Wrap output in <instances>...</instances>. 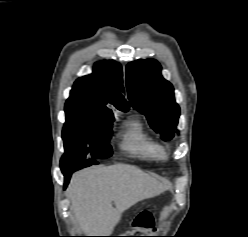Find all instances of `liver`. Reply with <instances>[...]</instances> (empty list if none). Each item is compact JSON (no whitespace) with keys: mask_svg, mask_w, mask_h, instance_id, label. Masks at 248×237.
Wrapping results in <instances>:
<instances>
[{"mask_svg":"<svg viewBox=\"0 0 248 237\" xmlns=\"http://www.w3.org/2000/svg\"><path fill=\"white\" fill-rule=\"evenodd\" d=\"M164 190L161 182L136 166L115 164L77 172L67 194L81 231L88 236H109L125 210Z\"/></svg>","mask_w":248,"mask_h":237,"instance_id":"obj_1","label":"liver"}]
</instances>
